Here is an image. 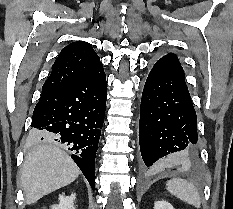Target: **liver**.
Here are the masks:
<instances>
[{
	"instance_id": "liver-1",
	"label": "liver",
	"mask_w": 233,
	"mask_h": 209,
	"mask_svg": "<svg viewBox=\"0 0 233 209\" xmlns=\"http://www.w3.org/2000/svg\"><path fill=\"white\" fill-rule=\"evenodd\" d=\"M37 139L44 134L33 130ZM80 170L70 156L57 145L37 144L26 156L22 168V188L26 204L36 203L43 196L69 185Z\"/></svg>"
}]
</instances>
